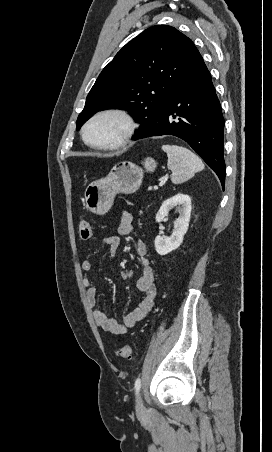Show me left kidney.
<instances>
[{
  "label": "left kidney",
  "mask_w": 272,
  "mask_h": 452,
  "mask_svg": "<svg viewBox=\"0 0 272 452\" xmlns=\"http://www.w3.org/2000/svg\"><path fill=\"white\" fill-rule=\"evenodd\" d=\"M176 208L179 217L174 221V230L170 237L156 236L154 244L159 255H166L177 249L183 242L189 226L191 215V198L182 193L165 200L156 214V222L160 223L168 216L171 209Z\"/></svg>",
  "instance_id": "5707ae66"
}]
</instances>
